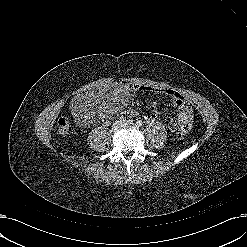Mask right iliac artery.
Listing matches in <instances>:
<instances>
[{"label":"right iliac artery","mask_w":247,"mask_h":247,"mask_svg":"<svg viewBox=\"0 0 247 247\" xmlns=\"http://www.w3.org/2000/svg\"><path fill=\"white\" fill-rule=\"evenodd\" d=\"M126 119L122 116L121 118H120V121H125Z\"/></svg>","instance_id":"82829eb1"}]
</instances>
